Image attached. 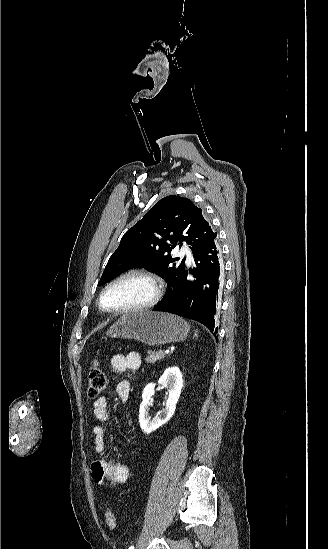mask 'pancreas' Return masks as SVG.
<instances>
[{"instance_id":"obj_1","label":"pancreas","mask_w":328,"mask_h":549,"mask_svg":"<svg viewBox=\"0 0 328 549\" xmlns=\"http://www.w3.org/2000/svg\"><path fill=\"white\" fill-rule=\"evenodd\" d=\"M165 353L163 351H147L146 361L147 363H156V361H161L164 359Z\"/></svg>"}]
</instances>
